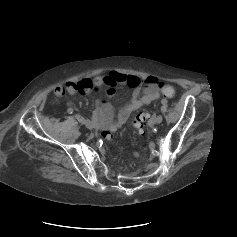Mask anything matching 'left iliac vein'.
<instances>
[{"label":"left iliac vein","instance_id":"4c4485c4","mask_svg":"<svg viewBox=\"0 0 237 237\" xmlns=\"http://www.w3.org/2000/svg\"><path fill=\"white\" fill-rule=\"evenodd\" d=\"M163 121V117L161 115H159L156 119H155V122L157 124H160L161 122Z\"/></svg>","mask_w":237,"mask_h":237}]
</instances>
